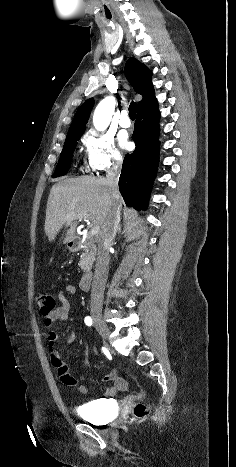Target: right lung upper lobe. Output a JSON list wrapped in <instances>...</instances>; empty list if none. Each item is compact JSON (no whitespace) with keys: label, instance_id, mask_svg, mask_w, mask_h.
<instances>
[{"label":"right lung upper lobe","instance_id":"cb5924a9","mask_svg":"<svg viewBox=\"0 0 236 467\" xmlns=\"http://www.w3.org/2000/svg\"><path fill=\"white\" fill-rule=\"evenodd\" d=\"M125 73L134 90L143 96V99L139 102L138 110L149 106L156 100L151 82L152 74L144 64L135 58H130L126 62ZM93 105L94 100L91 98L80 106L67 135L84 132Z\"/></svg>","mask_w":236,"mask_h":467}]
</instances>
